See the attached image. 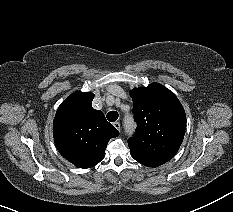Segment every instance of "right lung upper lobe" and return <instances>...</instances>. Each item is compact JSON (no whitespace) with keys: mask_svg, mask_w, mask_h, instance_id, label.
Here are the masks:
<instances>
[{"mask_svg":"<svg viewBox=\"0 0 233 212\" xmlns=\"http://www.w3.org/2000/svg\"><path fill=\"white\" fill-rule=\"evenodd\" d=\"M93 98L90 92H74L59 106L53 122L58 151L79 168L99 163L108 141L119 135L104 114L92 108Z\"/></svg>","mask_w":233,"mask_h":212,"instance_id":"right-lung-upper-lobe-1","label":"right lung upper lobe"}]
</instances>
